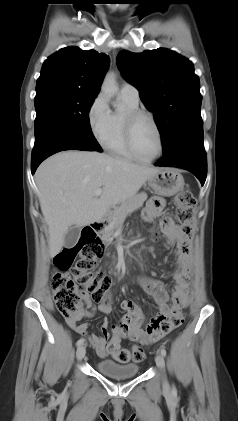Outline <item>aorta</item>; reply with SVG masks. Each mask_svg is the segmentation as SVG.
Segmentation results:
<instances>
[{
    "instance_id": "obj_1",
    "label": "aorta",
    "mask_w": 238,
    "mask_h": 421,
    "mask_svg": "<svg viewBox=\"0 0 238 421\" xmlns=\"http://www.w3.org/2000/svg\"><path fill=\"white\" fill-rule=\"evenodd\" d=\"M101 90L107 96H114L116 94V92L118 91V87H117L116 77L114 73H108L105 76Z\"/></svg>"
}]
</instances>
